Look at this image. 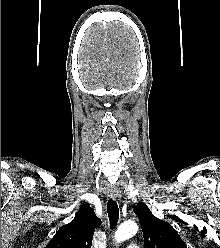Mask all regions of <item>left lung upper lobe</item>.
Listing matches in <instances>:
<instances>
[{
    "mask_svg": "<svg viewBox=\"0 0 220 248\" xmlns=\"http://www.w3.org/2000/svg\"><path fill=\"white\" fill-rule=\"evenodd\" d=\"M134 212L139 218L145 248H187L178 232L167 222L156 218L144 203H138Z\"/></svg>",
    "mask_w": 220,
    "mask_h": 248,
    "instance_id": "left-lung-upper-lobe-1",
    "label": "left lung upper lobe"
}]
</instances>
